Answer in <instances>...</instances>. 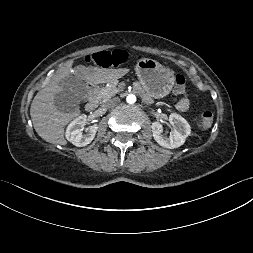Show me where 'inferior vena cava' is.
Returning <instances> with one entry per match:
<instances>
[{"instance_id": "1", "label": "inferior vena cava", "mask_w": 253, "mask_h": 253, "mask_svg": "<svg viewBox=\"0 0 253 253\" xmlns=\"http://www.w3.org/2000/svg\"><path fill=\"white\" fill-rule=\"evenodd\" d=\"M120 101L119 98H111L104 101L103 105L106 108L114 107Z\"/></svg>"}]
</instances>
